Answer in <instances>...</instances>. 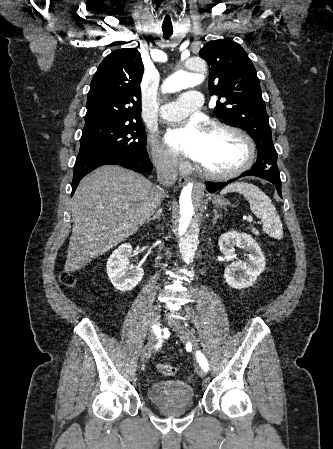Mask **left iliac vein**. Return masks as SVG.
Returning a JSON list of instances; mask_svg holds the SVG:
<instances>
[{
	"label": "left iliac vein",
	"mask_w": 333,
	"mask_h": 449,
	"mask_svg": "<svg viewBox=\"0 0 333 449\" xmlns=\"http://www.w3.org/2000/svg\"><path fill=\"white\" fill-rule=\"evenodd\" d=\"M174 329L181 340L190 342L195 351L199 349L198 340L189 328L185 327L182 324H176L174 326ZM196 372L200 377H205V372L199 364L196 366Z\"/></svg>",
	"instance_id": "obj_1"
}]
</instances>
